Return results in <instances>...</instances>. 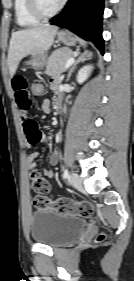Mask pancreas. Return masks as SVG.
<instances>
[{"label": "pancreas", "mask_w": 134, "mask_h": 281, "mask_svg": "<svg viewBox=\"0 0 134 281\" xmlns=\"http://www.w3.org/2000/svg\"><path fill=\"white\" fill-rule=\"evenodd\" d=\"M73 56V51L67 47L59 48L50 55L47 61L45 74L51 77L59 76L65 71V63Z\"/></svg>", "instance_id": "1"}]
</instances>
